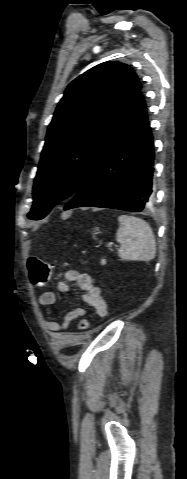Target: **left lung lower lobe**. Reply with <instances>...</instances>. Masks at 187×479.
I'll return each instance as SVG.
<instances>
[{
	"mask_svg": "<svg viewBox=\"0 0 187 479\" xmlns=\"http://www.w3.org/2000/svg\"><path fill=\"white\" fill-rule=\"evenodd\" d=\"M153 136L141 89L109 151L64 207H102L141 212L152 196Z\"/></svg>",
	"mask_w": 187,
	"mask_h": 479,
	"instance_id": "0a47b994",
	"label": "left lung lower lobe"
}]
</instances>
